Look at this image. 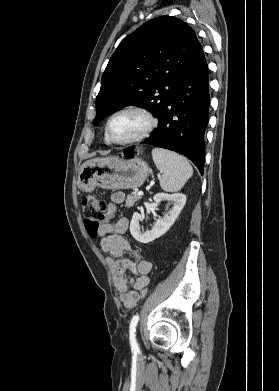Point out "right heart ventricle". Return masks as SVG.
I'll return each mask as SVG.
<instances>
[{
    "label": "right heart ventricle",
    "instance_id": "right-heart-ventricle-1",
    "mask_svg": "<svg viewBox=\"0 0 279 391\" xmlns=\"http://www.w3.org/2000/svg\"><path fill=\"white\" fill-rule=\"evenodd\" d=\"M105 141H106V143H109V142L106 140V138H105Z\"/></svg>",
    "mask_w": 279,
    "mask_h": 391
}]
</instances>
